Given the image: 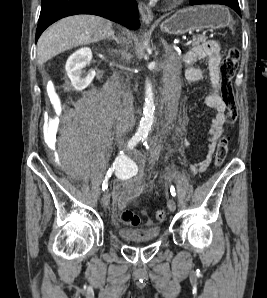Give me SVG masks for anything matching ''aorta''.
<instances>
[{
	"label": "aorta",
	"instance_id": "aorta-1",
	"mask_svg": "<svg viewBox=\"0 0 267 298\" xmlns=\"http://www.w3.org/2000/svg\"><path fill=\"white\" fill-rule=\"evenodd\" d=\"M154 93L152 84L150 81H146L145 84V104L143 107V117L140 120V125L138 128L139 134H146L151 129L154 121Z\"/></svg>",
	"mask_w": 267,
	"mask_h": 298
}]
</instances>
